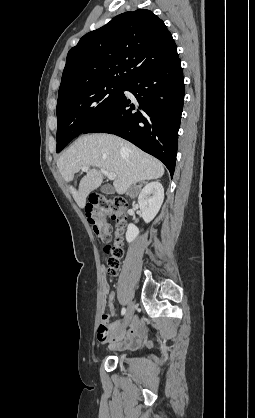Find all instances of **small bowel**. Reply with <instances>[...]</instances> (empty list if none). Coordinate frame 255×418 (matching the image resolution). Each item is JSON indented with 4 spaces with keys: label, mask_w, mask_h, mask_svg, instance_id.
Listing matches in <instances>:
<instances>
[{
    "label": "small bowel",
    "mask_w": 255,
    "mask_h": 418,
    "mask_svg": "<svg viewBox=\"0 0 255 418\" xmlns=\"http://www.w3.org/2000/svg\"><path fill=\"white\" fill-rule=\"evenodd\" d=\"M102 292L104 301L101 324L97 332L98 341L102 343L109 342L112 350L137 346L143 334V328L138 322H134L132 327L126 330V327H123L119 320L110 321V317L114 315V294L108 293L109 288L106 282L102 284ZM106 307H108L109 313L106 312Z\"/></svg>",
    "instance_id": "obj_1"
}]
</instances>
